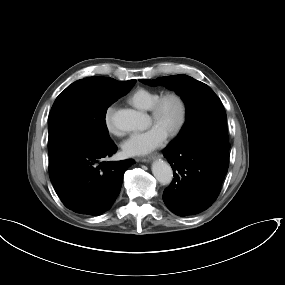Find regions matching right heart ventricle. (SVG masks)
I'll list each match as a JSON object with an SVG mask.
<instances>
[{
    "mask_svg": "<svg viewBox=\"0 0 285 285\" xmlns=\"http://www.w3.org/2000/svg\"><path fill=\"white\" fill-rule=\"evenodd\" d=\"M160 95L159 92L151 89L138 88L130 94L128 101L137 109L149 110Z\"/></svg>",
    "mask_w": 285,
    "mask_h": 285,
    "instance_id": "e07e8e85",
    "label": "right heart ventricle"
}]
</instances>
